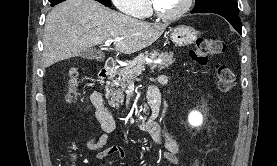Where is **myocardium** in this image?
I'll return each mask as SVG.
<instances>
[{
  "instance_id": "f54148a6",
  "label": "myocardium",
  "mask_w": 277,
  "mask_h": 166,
  "mask_svg": "<svg viewBox=\"0 0 277 166\" xmlns=\"http://www.w3.org/2000/svg\"><path fill=\"white\" fill-rule=\"evenodd\" d=\"M192 3H193V0H185V3L180 10L172 14H166L159 9L155 0H150L151 9L154 15L159 19H162L165 21H173L181 18L190 10Z\"/></svg>"
}]
</instances>
